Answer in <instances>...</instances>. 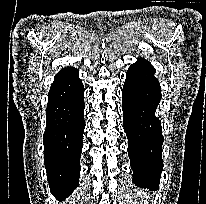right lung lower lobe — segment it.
Masks as SVG:
<instances>
[{
  "label": "right lung lower lobe",
  "mask_w": 206,
  "mask_h": 204,
  "mask_svg": "<svg viewBox=\"0 0 206 204\" xmlns=\"http://www.w3.org/2000/svg\"><path fill=\"white\" fill-rule=\"evenodd\" d=\"M46 130L43 136L44 164L51 193L66 198L77 187L83 147L84 86L78 70L62 69L48 94Z\"/></svg>",
  "instance_id": "right-lung-lower-lobe-1"
}]
</instances>
